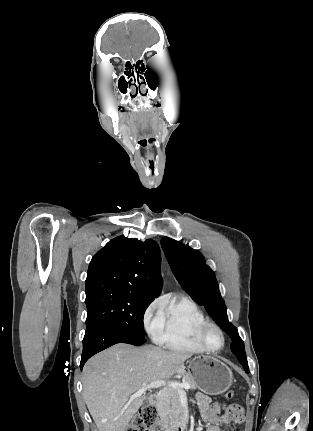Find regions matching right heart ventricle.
<instances>
[{"label": "right heart ventricle", "mask_w": 313, "mask_h": 431, "mask_svg": "<svg viewBox=\"0 0 313 431\" xmlns=\"http://www.w3.org/2000/svg\"><path fill=\"white\" fill-rule=\"evenodd\" d=\"M207 321L199 305L181 296L163 305V326L156 341L167 349L201 353L206 351L198 341V332Z\"/></svg>", "instance_id": "1"}]
</instances>
